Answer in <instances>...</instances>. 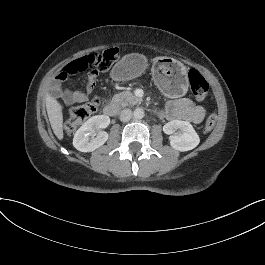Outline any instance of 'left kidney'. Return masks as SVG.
<instances>
[{
	"instance_id": "5707ae66",
	"label": "left kidney",
	"mask_w": 265,
	"mask_h": 265,
	"mask_svg": "<svg viewBox=\"0 0 265 265\" xmlns=\"http://www.w3.org/2000/svg\"><path fill=\"white\" fill-rule=\"evenodd\" d=\"M180 133L176 135V130ZM163 132L171 135L169 145L176 151L185 152L196 148L200 138L193 126L186 121L174 120L163 126Z\"/></svg>"
}]
</instances>
